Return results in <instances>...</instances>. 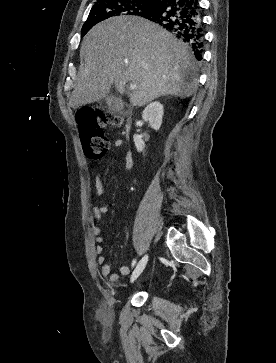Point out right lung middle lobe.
I'll return each instance as SVG.
<instances>
[{
  "instance_id": "dd1d6c3e",
  "label": "right lung middle lobe",
  "mask_w": 276,
  "mask_h": 363,
  "mask_svg": "<svg viewBox=\"0 0 276 363\" xmlns=\"http://www.w3.org/2000/svg\"><path fill=\"white\" fill-rule=\"evenodd\" d=\"M157 4L146 0H99L92 7L88 19L82 27L84 36L97 23L115 16H143L151 12Z\"/></svg>"
}]
</instances>
